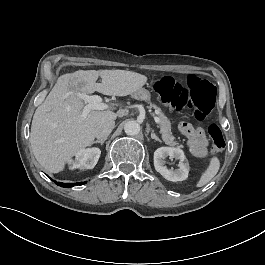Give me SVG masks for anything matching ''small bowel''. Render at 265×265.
I'll return each instance as SVG.
<instances>
[{"instance_id": "c3829d8e", "label": "small bowel", "mask_w": 265, "mask_h": 265, "mask_svg": "<svg viewBox=\"0 0 265 265\" xmlns=\"http://www.w3.org/2000/svg\"><path fill=\"white\" fill-rule=\"evenodd\" d=\"M179 129L189 139L190 151L194 156L198 158L208 156V141L202 128H194L189 123L182 122Z\"/></svg>"}]
</instances>
